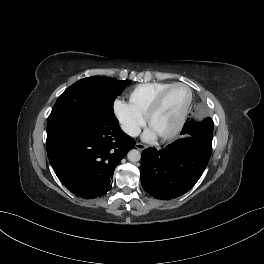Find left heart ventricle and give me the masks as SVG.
Returning <instances> with one entry per match:
<instances>
[{"label": "left heart ventricle", "mask_w": 264, "mask_h": 264, "mask_svg": "<svg viewBox=\"0 0 264 264\" xmlns=\"http://www.w3.org/2000/svg\"><path fill=\"white\" fill-rule=\"evenodd\" d=\"M187 99L188 91L185 88L175 87L171 89L151 119V130L159 135L171 129L177 122Z\"/></svg>", "instance_id": "obj_1"}]
</instances>
